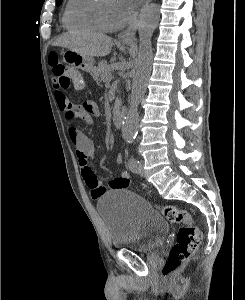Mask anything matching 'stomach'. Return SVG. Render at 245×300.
Wrapping results in <instances>:
<instances>
[{
	"label": "stomach",
	"instance_id": "obj_1",
	"mask_svg": "<svg viewBox=\"0 0 245 300\" xmlns=\"http://www.w3.org/2000/svg\"><path fill=\"white\" fill-rule=\"evenodd\" d=\"M63 60L69 66L86 72H91L94 68V59L92 57L81 55L71 49L63 53Z\"/></svg>",
	"mask_w": 245,
	"mask_h": 300
}]
</instances>
